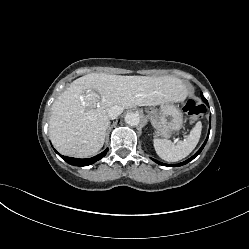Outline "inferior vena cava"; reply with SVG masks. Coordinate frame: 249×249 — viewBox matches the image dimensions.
Listing matches in <instances>:
<instances>
[{
	"mask_svg": "<svg viewBox=\"0 0 249 249\" xmlns=\"http://www.w3.org/2000/svg\"><path fill=\"white\" fill-rule=\"evenodd\" d=\"M122 112H123V107H121V106H119V105L112 106V107L108 110V117H109L110 119H115V118H117Z\"/></svg>",
	"mask_w": 249,
	"mask_h": 249,
	"instance_id": "obj_1",
	"label": "inferior vena cava"
}]
</instances>
